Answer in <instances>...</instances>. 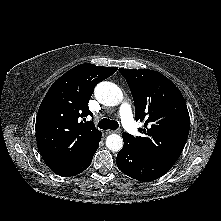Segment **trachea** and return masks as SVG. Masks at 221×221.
<instances>
[{"label":"trachea","mask_w":221,"mask_h":221,"mask_svg":"<svg viewBox=\"0 0 221 221\" xmlns=\"http://www.w3.org/2000/svg\"><path fill=\"white\" fill-rule=\"evenodd\" d=\"M98 127L104 130L106 129L116 130L119 127V124L115 120L104 118L101 121H99Z\"/></svg>","instance_id":"1"}]
</instances>
